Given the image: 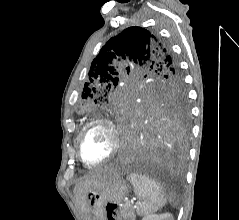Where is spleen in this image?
<instances>
[{"label": "spleen", "instance_id": "3e777b00", "mask_svg": "<svg viewBox=\"0 0 239 220\" xmlns=\"http://www.w3.org/2000/svg\"><path fill=\"white\" fill-rule=\"evenodd\" d=\"M139 199L137 214L145 216L152 214L165 206L167 199L161 186L146 175L131 173L128 177Z\"/></svg>", "mask_w": 239, "mask_h": 220}]
</instances>
